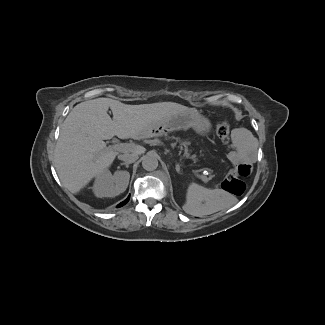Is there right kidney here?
<instances>
[{"instance_id": "obj_1", "label": "right kidney", "mask_w": 325, "mask_h": 325, "mask_svg": "<svg viewBox=\"0 0 325 325\" xmlns=\"http://www.w3.org/2000/svg\"><path fill=\"white\" fill-rule=\"evenodd\" d=\"M130 174L127 171H116L113 175L109 170L98 174L93 185L97 197H115L123 193L129 184Z\"/></svg>"}]
</instances>
